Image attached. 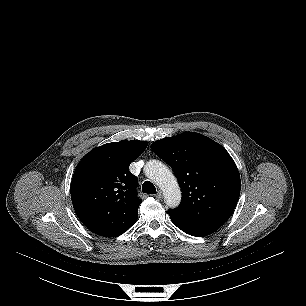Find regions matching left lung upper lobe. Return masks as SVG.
<instances>
[{
    "label": "left lung upper lobe",
    "mask_w": 306,
    "mask_h": 306,
    "mask_svg": "<svg viewBox=\"0 0 306 306\" xmlns=\"http://www.w3.org/2000/svg\"><path fill=\"white\" fill-rule=\"evenodd\" d=\"M151 149L172 167L182 190L181 204L169 211L195 224L221 227L234 211L241 188L229 153L192 132L158 140Z\"/></svg>",
    "instance_id": "obj_1"
}]
</instances>
